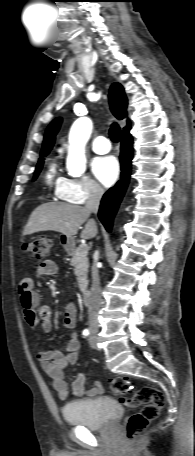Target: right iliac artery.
Segmentation results:
<instances>
[{"mask_svg":"<svg viewBox=\"0 0 195 456\" xmlns=\"http://www.w3.org/2000/svg\"><path fill=\"white\" fill-rule=\"evenodd\" d=\"M82 334L84 337H87V336H89L90 331L88 329H85Z\"/></svg>","mask_w":195,"mask_h":456,"instance_id":"obj_1","label":"right iliac artery"}]
</instances>
